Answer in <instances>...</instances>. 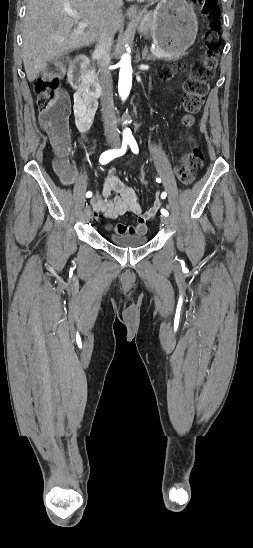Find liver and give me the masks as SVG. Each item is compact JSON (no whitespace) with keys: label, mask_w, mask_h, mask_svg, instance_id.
Here are the masks:
<instances>
[{"label":"liver","mask_w":253,"mask_h":548,"mask_svg":"<svg viewBox=\"0 0 253 548\" xmlns=\"http://www.w3.org/2000/svg\"><path fill=\"white\" fill-rule=\"evenodd\" d=\"M108 2L27 0L22 57L28 81L33 82L54 58L97 41L104 23L115 34L122 26L123 14L121 7L111 8ZM81 21L88 26L79 28Z\"/></svg>","instance_id":"1"}]
</instances>
